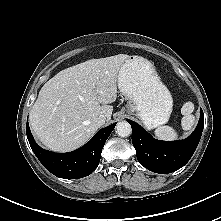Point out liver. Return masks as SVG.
Wrapping results in <instances>:
<instances>
[{"instance_id":"6515ba94","label":"liver","mask_w":221,"mask_h":221,"mask_svg":"<svg viewBox=\"0 0 221 221\" xmlns=\"http://www.w3.org/2000/svg\"><path fill=\"white\" fill-rule=\"evenodd\" d=\"M128 58L118 54L91 59L47 81L29 114L31 129L40 142L52 151L68 152L85 144L102 126L96 122L100 115L110 121L118 74Z\"/></svg>"}]
</instances>
